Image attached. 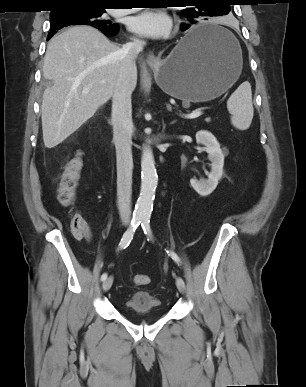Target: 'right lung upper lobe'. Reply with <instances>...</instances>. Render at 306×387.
<instances>
[{
	"label": "right lung upper lobe",
	"mask_w": 306,
	"mask_h": 387,
	"mask_svg": "<svg viewBox=\"0 0 306 387\" xmlns=\"http://www.w3.org/2000/svg\"><path fill=\"white\" fill-rule=\"evenodd\" d=\"M57 9L51 12H59L62 8L73 6H98L105 7L110 4V0H55Z\"/></svg>",
	"instance_id": "1"
}]
</instances>
